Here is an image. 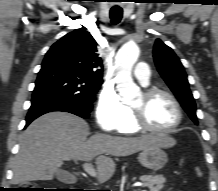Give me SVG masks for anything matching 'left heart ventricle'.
<instances>
[{
    "label": "left heart ventricle",
    "mask_w": 218,
    "mask_h": 191,
    "mask_svg": "<svg viewBox=\"0 0 218 191\" xmlns=\"http://www.w3.org/2000/svg\"><path fill=\"white\" fill-rule=\"evenodd\" d=\"M132 107L143 109L149 124L154 128H169L177 120V112L173 103L162 95L147 101L142 94L132 104Z\"/></svg>",
    "instance_id": "obj_1"
}]
</instances>
